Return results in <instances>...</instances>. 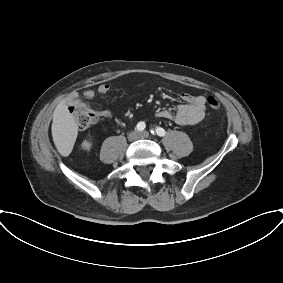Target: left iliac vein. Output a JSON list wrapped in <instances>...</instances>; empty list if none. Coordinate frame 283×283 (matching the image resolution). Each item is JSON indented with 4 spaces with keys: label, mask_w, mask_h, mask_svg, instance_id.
<instances>
[{
    "label": "left iliac vein",
    "mask_w": 283,
    "mask_h": 283,
    "mask_svg": "<svg viewBox=\"0 0 283 283\" xmlns=\"http://www.w3.org/2000/svg\"><path fill=\"white\" fill-rule=\"evenodd\" d=\"M149 137V133L147 131H142L140 133V138H148Z\"/></svg>",
    "instance_id": "obj_1"
}]
</instances>
